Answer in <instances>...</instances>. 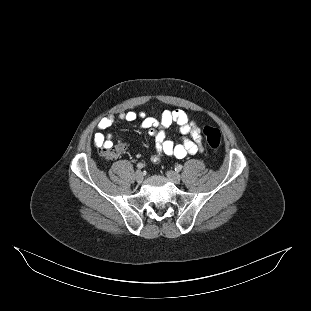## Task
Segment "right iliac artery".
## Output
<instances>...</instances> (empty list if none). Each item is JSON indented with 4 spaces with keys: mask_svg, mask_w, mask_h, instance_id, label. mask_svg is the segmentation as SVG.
Listing matches in <instances>:
<instances>
[{
    "mask_svg": "<svg viewBox=\"0 0 311 311\" xmlns=\"http://www.w3.org/2000/svg\"><path fill=\"white\" fill-rule=\"evenodd\" d=\"M143 167H144V165H143L142 163H138V164H137V168H138V169H142Z\"/></svg>",
    "mask_w": 311,
    "mask_h": 311,
    "instance_id": "right-iliac-artery-1",
    "label": "right iliac artery"
}]
</instances>
